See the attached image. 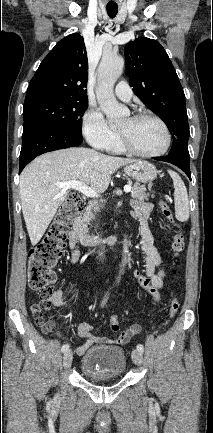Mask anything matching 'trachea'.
Here are the masks:
<instances>
[{"label": "trachea", "instance_id": "trachea-1", "mask_svg": "<svg viewBox=\"0 0 213 433\" xmlns=\"http://www.w3.org/2000/svg\"><path fill=\"white\" fill-rule=\"evenodd\" d=\"M118 13V7L114 6V7H108L107 6V14L109 15L110 18H114Z\"/></svg>", "mask_w": 213, "mask_h": 433}]
</instances>
